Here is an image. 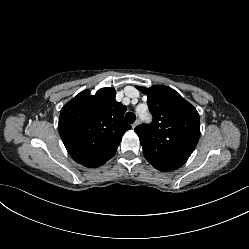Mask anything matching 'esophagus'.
I'll use <instances>...</instances> for the list:
<instances>
[{
	"instance_id": "1",
	"label": "esophagus",
	"mask_w": 249,
	"mask_h": 249,
	"mask_svg": "<svg viewBox=\"0 0 249 249\" xmlns=\"http://www.w3.org/2000/svg\"><path fill=\"white\" fill-rule=\"evenodd\" d=\"M139 123H140V121L137 119V120L133 123V125H132L133 129H134L137 125H139Z\"/></svg>"
}]
</instances>
